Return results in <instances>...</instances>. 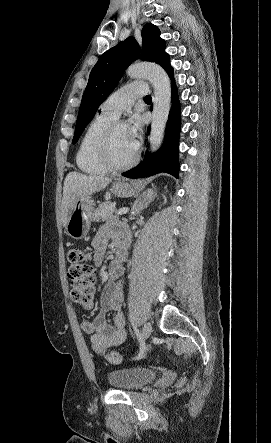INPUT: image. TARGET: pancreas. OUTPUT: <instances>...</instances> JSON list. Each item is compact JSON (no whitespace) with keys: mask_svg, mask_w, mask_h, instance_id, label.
<instances>
[{"mask_svg":"<svg viewBox=\"0 0 271 443\" xmlns=\"http://www.w3.org/2000/svg\"><path fill=\"white\" fill-rule=\"evenodd\" d=\"M115 202H104V204H99L97 210H94L92 214V220H108V218H114V208Z\"/></svg>","mask_w":271,"mask_h":443,"instance_id":"1","label":"pancreas"}]
</instances>
